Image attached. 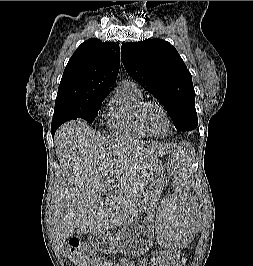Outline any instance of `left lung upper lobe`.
I'll return each instance as SVG.
<instances>
[{
	"label": "left lung upper lobe",
	"mask_w": 253,
	"mask_h": 266,
	"mask_svg": "<svg viewBox=\"0 0 253 266\" xmlns=\"http://www.w3.org/2000/svg\"><path fill=\"white\" fill-rule=\"evenodd\" d=\"M121 59L127 73L164 106L177 131L197 127L192 76L169 42L126 43L121 47Z\"/></svg>",
	"instance_id": "1"
}]
</instances>
